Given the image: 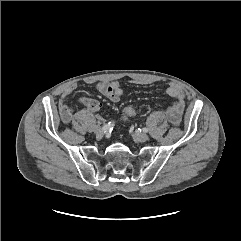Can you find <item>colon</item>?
<instances>
[{"mask_svg":"<svg viewBox=\"0 0 241 241\" xmlns=\"http://www.w3.org/2000/svg\"><path fill=\"white\" fill-rule=\"evenodd\" d=\"M137 113V110L134 106H127L122 113V117L124 120H129L133 118Z\"/></svg>","mask_w":241,"mask_h":241,"instance_id":"5ec220e1","label":"colon"}]
</instances>
